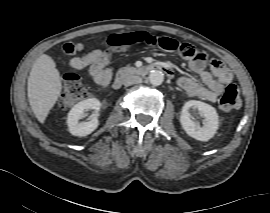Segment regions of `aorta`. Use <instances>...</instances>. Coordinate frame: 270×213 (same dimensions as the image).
Here are the masks:
<instances>
[{"label": "aorta", "instance_id": "obj_1", "mask_svg": "<svg viewBox=\"0 0 270 213\" xmlns=\"http://www.w3.org/2000/svg\"><path fill=\"white\" fill-rule=\"evenodd\" d=\"M149 81L154 86H159L164 81V74L160 70H153L149 74Z\"/></svg>", "mask_w": 270, "mask_h": 213}]
</instances>
